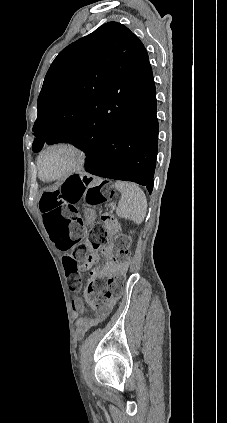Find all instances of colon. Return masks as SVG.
<instances>
[{"label":"colon","mask_w":227,"mask_h":423,"mask_svg":"<svg viewBox=\"0 0 227 423\" xmlns=\"http://www.w3.org/2000/svg\"><path fill=\"white\" fill-rule=\"evenodd\" d=\"M114 195L105 182H92L82 176L68 178L61 187L45 190L40 198L39 209L45 228L52 241L63 253V266L69 289L78 292L82 285V273L89 271L93 254L81 248L75 254L74 246L83 235V223L78 214L77 204L85 197L90 205H98ZM116 227L113 215L105 213L90 233V244L94 250L104 248L108 243V232ZM113 260L122 266V271L112 277L103 278L90 273L86 287L88 304L98 310L109 300L121 295L125 271L131 259L129 244L125 236L118 235L112 245Z\"/></svg>","instance_id":"5ec220e1"}]
</instances>
